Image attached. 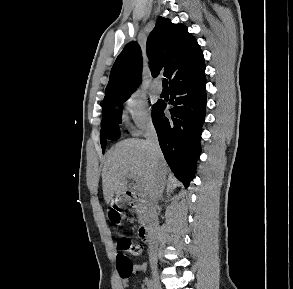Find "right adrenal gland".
Instances as JSON below:
<instances>
[{"mask_svg":"<svg viewBox=\"0 0 293 289\" xmlns=\"http://www.w3.org/2000/svg\"><path fill=\"white\" fill-rule=\"evenodd\" d=\"M161 198L163 197V192H162V194H161V196H160Z\"/></svg>","mask_w":293,"mask_h":289,"instance_id":"2a0ac1e0","label":"right adrenal gland"}]
</instances>
